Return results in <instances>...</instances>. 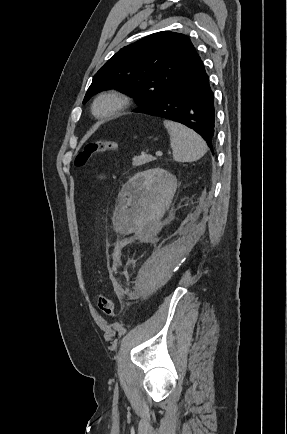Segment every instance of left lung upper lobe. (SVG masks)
Returning a JSON list of instances; mask_svg holds the SVG:
<instances>
[{"instance_id":"1","label":"left lung upper lobe","mask_w":287,"mask_h":434,"mask_svg":"<svg viewBox=\"0 0 287 434\" xmlns=\"http://www.w3.org/2000/svg\"><path fill=\"white\" fill-rule=\"evenodd\" d=\"M200 60L184 34L162 31L120 49L94 75L83 102L112 88L135 97L139 108L155 105Z\"/></svg>"}]
</instances>
